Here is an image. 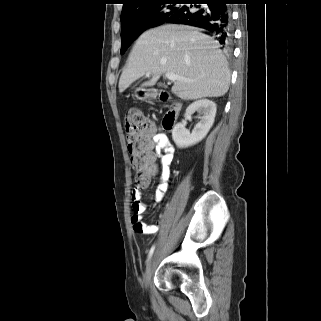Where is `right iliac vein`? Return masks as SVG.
Here are the masks:
<instances>
[{"label":"right iliac vein","mask_w":321,"mask_h":321,"mask_svg":"<svg viewBox=\"0 0 321 321\" xmlns=\"http://www.w3.org/2000/svg\"><path fill=\"white\" fill-rule=\"evenodd\" d=\"M153 270H154V256L151 257L147 263L146 272L144 276L145 287H148L149 285V282L153 274Z\"/></svg>","instance_id":"63e3f726"}]
</instances>
